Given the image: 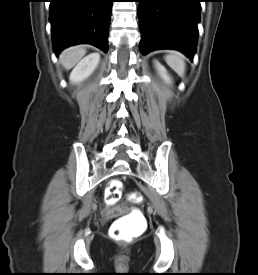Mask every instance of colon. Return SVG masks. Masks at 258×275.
<instances>
[{
  "label": "colon",
  "mask_w": 258,
  "mask_h": 275,
  "mask_svg": "<svg viewBox=\"0 0 258 275\" xmlns=\"http://www.w3.org/2000/svg\"><path fill=\"white\" fill-rule=\"evenodd\" d=\"M122 189V184L119 180H112L109 183V186L107 188V200L115 201L119 198L120 192ZM130 199L134 203H138L142 200V196L138 192H134L131 194ZM106 215L110 216V212L107 211ZM110 234L113 238L128 241L132 238V234L129 230L123 227L122 223L120 221H116L111 229Z\"/></svg>",
  "instance_id": "obj_1"
}]
</instances>
